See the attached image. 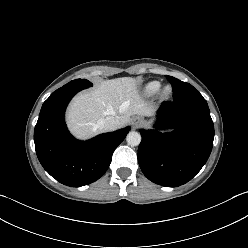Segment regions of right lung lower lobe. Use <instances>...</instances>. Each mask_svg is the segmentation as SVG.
<instances>
[{"instance_id":"right-lung-lower-lobe-1","label":"right lung lower lobe","mask_w":248,"mask_h":248,"mask_svg":"<svg viewBox=\"0 0 248 248\" xmlns=\"http://www.w3.org/2000/svg\"><path fill=\"white\" fill-rule=\"evenodd\" d=\"M82 88H59L43 103L34 130L37 157L60 183L80 187L98 180L107 171L112 154L130 127L104 133L86 142L76 140L64 122L65 109Z\"/></svg>"}]
</instances>
